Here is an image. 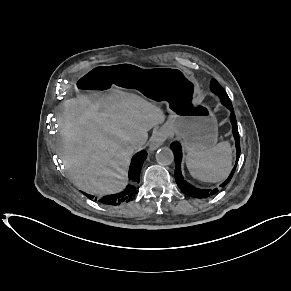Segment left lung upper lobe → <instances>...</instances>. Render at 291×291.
Here are the masks:
<instances>
[{"mask_svg":"<svg viewBox=\"0 0 291 291\" xmlns=\"http://www.w3.org/2000/svg\"><path fill=\"white\" fill-rule=\"evenodd\" d=\"M211 90L217 95H221V94L227 95L225 90L219 85V83L215 79L211 81Z\"/></svg>","mask_w":291,"mask_h":291,"instance_id":"1","label":"left lung upper lobe"}]
</instances>
